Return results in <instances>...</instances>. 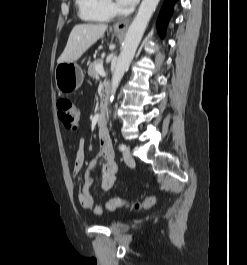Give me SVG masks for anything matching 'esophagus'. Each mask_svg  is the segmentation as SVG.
Masks as SVG:
<instances>
[{
  "label": "esophagus",
  "instance_id": "obj_1",
  "mask_svg": "<svg viewBox=\"0 0 247 265\" xmlns=\"http://www.w3.org/2000/svg\"><path fill=\"white\" fill-rule=\"evenodd\" d=\"M129 23H130V18L120 20L114 24L113 29L114 31L124 33L127 30Z\"/></svg>",
  "mask_w": 247,
  "mask_h": 265
}]
</instances>
